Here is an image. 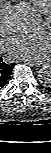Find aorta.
<instances>
[{"instance_id": "aorta-1", "label": "aorta", "mask_w": 51, "mask_h": 153, "mask_svg": "<svg viewBox=\"0 0 51 153\" xmlns=\"http://www.w3.org/2000/svg\"><path fill=\"white\" fill-rule=\"evenodd\" d=\"M7 24L16 33L31 34L39 29L41 17L32 5L20 2L8 11ZM37 77L41 84L49 86L51 84V68L49 66L40 68Z\"/></svg>"}]
</instances>
